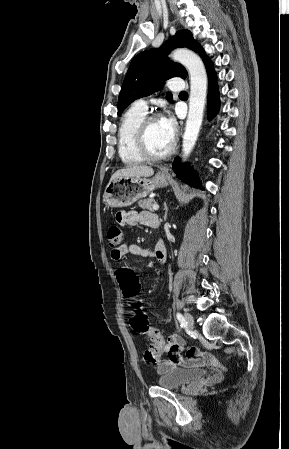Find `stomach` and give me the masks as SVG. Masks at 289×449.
Wrapping results in <instances>:
<instances>
[{"label": "stomach", "instance_id": "obj_1", "mask_svg": "<svg viewBox=\"0 0 289 449\" xmlns=\"http://www.w3.org/2000/svg\"><path fill=\"white\" fill-rule=\"evenodd\" d=\"M169 177L157 173L153 178L120 177L111 180L104 191V201L110 207L121 208L132 205L146 197L156 188L166 187Z\"/></svg>", "mask_w": 289, "mask_h": 449}]
</instances>
